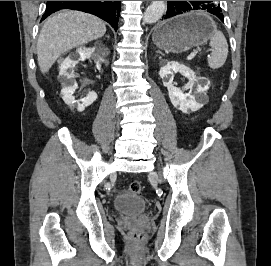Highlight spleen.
Returning a JSON list of instances; mask_svg holds the SVG:
<instances>
[{"mask_svg":"<svg viewBox=\"0 0 271 266\" xmlns=\"http://www.w3.org/2000/svg\"><path fill=\"white\" fill-rule=\"evenodd\" d=\"M209 44L212 47V53L208 57V65L212 69H218L223 66L227 59V40L220 30L215 29L210 37Z\"/></svg>","mask_w":271,"mask_h":266,"instance_id":"1","label":"spleen"}]
</instances>
